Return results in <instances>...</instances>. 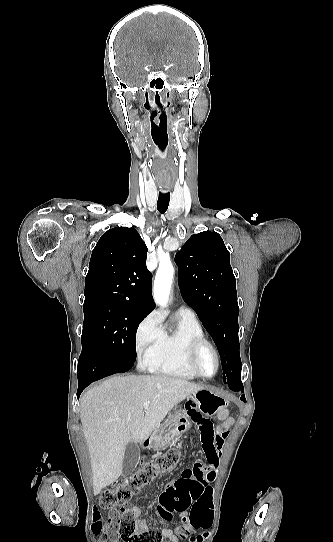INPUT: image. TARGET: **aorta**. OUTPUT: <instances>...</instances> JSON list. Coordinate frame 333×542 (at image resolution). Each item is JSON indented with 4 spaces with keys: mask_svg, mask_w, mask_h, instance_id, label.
Returning a JSON list of instances; mask_svg holds the SVG:
<instances>
[{
    "mask_svg": "<svg viewBox=\"0 0 333 542\" xmlns=\"http://www.w3.org/2000/svg\"><path fill=\"white\" fill-rule=\"evenodd\" d=\"M174 274L173 266H159L154 280L153 296L156 304L161 308H167L169 292Z\"/></svg>",
    "mask_w": 333,
    "mask_h": 542,
    "instance_id": "762f6f07",
    "label": "aorta"
}]
</instances>
